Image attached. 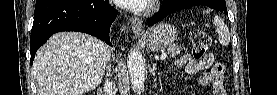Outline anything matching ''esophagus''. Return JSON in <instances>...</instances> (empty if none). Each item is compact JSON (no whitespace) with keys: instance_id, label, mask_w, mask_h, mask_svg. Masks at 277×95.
Returning <instances> with one entry per match:
<instances>
[{"instance_id":"obj_1","label":"esophagus","mask_w":277,"mask_h":95,"mask_svg":"<svg viewBox=\"0 0 277 95\" xmlns=\"http://www.w3.org/2000/svg\"><path fill=\"white\" fill-rule=\"evenodd\" d=\"M132 31L136 36H140L143 31V23L137 17L132 18Z\"/></svg>"}]
</instances>
